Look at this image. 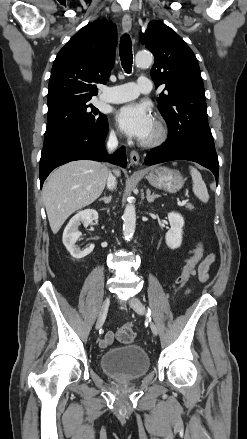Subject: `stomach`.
Here are the masks:
<instances>
[{
	"label": "stomach",
	"mask_w": 247,
	"mask_h": 439,
	"mask_svg": "<svg viewBox=\"0 0 247 439\" xmlns=\"http://www.w3.org/2000/svg\"><path fill=\"white\" fill-rule=\"evenodd\" d=\"M148 182L159 189L174 193L184 185V179L180 173L167 167H153L147 172Z\"/></svg>",
	"instance_id": "0dacf381"
}]
</instances>
